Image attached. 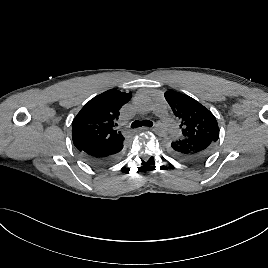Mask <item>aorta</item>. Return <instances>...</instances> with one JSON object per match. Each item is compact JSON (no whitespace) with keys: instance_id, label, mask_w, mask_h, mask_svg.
I'll return each instance as SVG.
<instances>
[{"instance_id":"1","label":"aorta","mask_w":268,"mask_h":268,"mask_svg":"<svg viewBox=\"0 0 268 268\" xmlns=\"http://www.w3.org/2000/svg\"><path fill=\"white\" fill-rule=\"evenodd\" d=\"M136 106L140 112L148 114L155 108V101L150 95L143 94L137 98ZM153 133L157 138L163 139L168 136L169 130L166 125L157 124L153 128Z\"/></svg>"}]
</instances>
